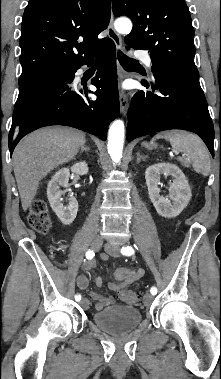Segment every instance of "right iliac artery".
I'll return each instance as SVG.
<instances>
[{
	"mask_svg": "<svg viewBox=\"0 0 221 379\" xmlns=\"http://www.w3.org/2000/svg\"><path fill=\"white\" fill-rule=\"evenodd\" d=\"M94 256H95V253H94L93 250H88V251L86 252V258H87V259H92ZM75 300H76V301H80V300H81V295H80V294H76V295H75Z\"/></svg>",
	"mask_w": 221,
	"mask_h": 379,
	"instance_id": "obj_1",
	"label": "right iliac artery"
}]
</instances>
